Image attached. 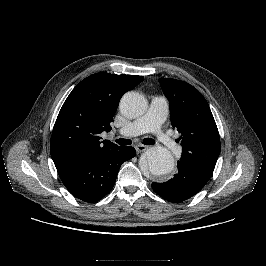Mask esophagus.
Masks as SVG:
<instances>
[{
    "mask_svg": "<svg viewBox=\"0 0 266 266\" xmlns=\"http://www.w3.org/2000/svg\"><path fill=\"white\" fill-rule=\"evenodd\" d=\"M135 149L139 153V152L145 151L147 149V147L145 145L138 144V145H135Z\"/></svg>",
    "mask_w": 266,
    "mask_h": 266,
    "instance_id": "esophagus-1",
    "label": "esophagus"
}]
</instances>
